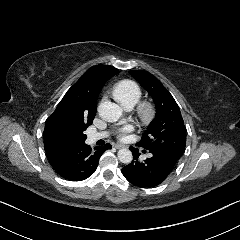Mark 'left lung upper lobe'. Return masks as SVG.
Listing matches in <instances>:
<instances>
[{
	"mask_svg": "<svg viewBox=\"0 0 240 240\" xmlns=\"http://www.w3.org/2000/svg\"><path fill=\"white\" fill-rule=\"evenodd\" d=\"M129 73L147 90L156 106L155 118L138 145L147 150H161L178 161L185 149L186 129L176 101L152 74L140 70H131Z\"/></svg>",
	"mask_w": 240,
	"mask_h": 240,
	"instance_id": "obj_1",
	"label": "left lung upper lobe"
}]
</instances>
